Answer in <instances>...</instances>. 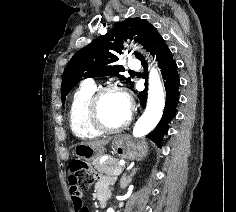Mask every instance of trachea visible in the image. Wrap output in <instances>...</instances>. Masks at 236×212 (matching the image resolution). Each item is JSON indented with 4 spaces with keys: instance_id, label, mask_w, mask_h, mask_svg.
<instances>
[{
    "instance_id": "3493384b",
    "label": "trachea",
    "mask_w": 236,
    "mask_h": 212,
    "mask_svg": "<svg viewBox=\"0 0 236 212\" xmlns=\"http://www.w3.org/2000/svg\"><path fill=\"white\" fill-rule=\"evenodd\" d=\"M130 73H135L134 71H131Z\"/></svg>"
}]
</instances>
